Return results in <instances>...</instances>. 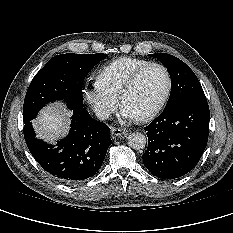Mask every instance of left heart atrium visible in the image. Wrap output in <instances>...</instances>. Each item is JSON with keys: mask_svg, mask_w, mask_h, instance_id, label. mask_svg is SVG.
<instances>
[{"mask_svg": "<svg viewBox=\"0 0 233 233\" xmlns=\"http://www.w3.org/2000/svg\"><path fill=\"white\" fill-rule=\"evenodd\" d=\"M120 114H121L122 119L125 121L138 120V117L125 106L122 107Z\"/></svg>", "mask_w": 233, "mask_h": 233, "instance_id": "39dd6f15", "label": "left heart atrium"}]
</instances>
